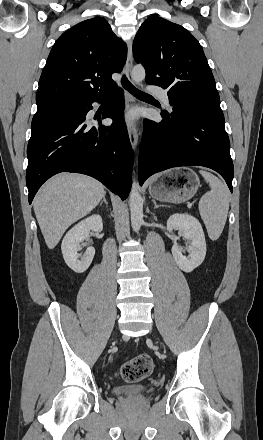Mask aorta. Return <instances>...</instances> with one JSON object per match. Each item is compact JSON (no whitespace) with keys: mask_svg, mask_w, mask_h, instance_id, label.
I'll use <instances>...</instances> for the list:
<instances>
[{"mask_svg":"<svg viewBox=\"0 0 263 440\" xmlns=\"http://www.w3.org/2000/svg\"><path fill=\"white\" fill-rule=\"evenodd\" d=\"M131 77L134 82L139 83L145 79V69L142 65L134 66ZM131 224L135 232L140 230L143 223V199L139 193V184L133 180L130 192Z\"/></svg>","mask_w":263,"mask_h":440,"instance_id":"aorta-1","label":"aorta"}]
</instances>
